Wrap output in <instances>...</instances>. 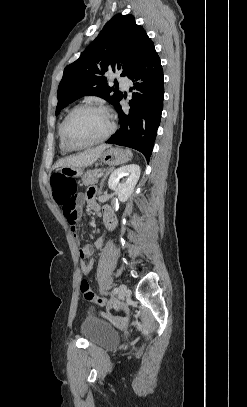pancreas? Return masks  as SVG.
Wrapping results in <instances>:
<instances>
[{
  "label": "pancreas",
  "instance_id": "1",
  "mask_svg": "<svg viewBox=\"0 0 247 407\" xmlns=\"http://www.w3.org/2000/svg\"><path fill=\"white\" fill-rule=\"evenodd\" d=\"M101 172V169H94L86 172L82 177V183L85 186H89L98 182L97 175Z\"/></svg>",
  "mask_w": 247,
  "mask_h": 407
}]
</instances>
